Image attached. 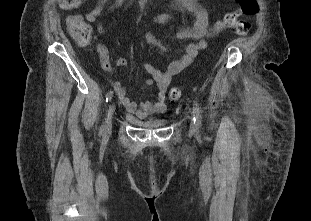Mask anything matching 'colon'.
<instances>
[{
  "label": "colon",
  "mask_w": 311,
  "mask_h": 221,
  "mask_svg": "<svg viewBox=\"0 0 311 221\" xmlns=\"http://www.w3.org/2000/svg\"><path fill=\"white\" fill-rule=\"evenodd\" d=\"M242 13L230 12L222 21L215 24L216 29H227L228 24H232L233 18L237 15L245 14L248 17H253L259 11L258 0H238ZM85 0H65L58 1V8H76V4H84ZM66 27L72 38L81 46H86L92 36V28L89 22H87L81 15H71L66 19ZM249 28L248 20H240L238 26H234L237 34H244ZM181 87H172L167 94L169 101H176L182 96Z\"/></svg>",
  "instance_id": "5ec220e1"
}]
</instances>
